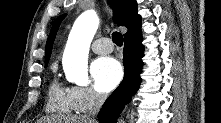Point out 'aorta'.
Returning a JSON list of instances; mask_svg holds the SVG:
<instances>
[{
	"label": "aorta",
	"mask_w": 221,
	"mask_h": 123,
	"mask_svg": "<svg viewBox=\"0 0 221 123\" xmlns=\"http://www.w3.org/2000/svg\"><path fill=\"white\" fill-rule=\"evenodd\" d=\"M99 26L95 11L82 13L74 22L64 50L62 65L69 81L80 86L89 84L88 53Z\"/></svg>",
	"instance_id": "aorta-1"
}]
</instances>
